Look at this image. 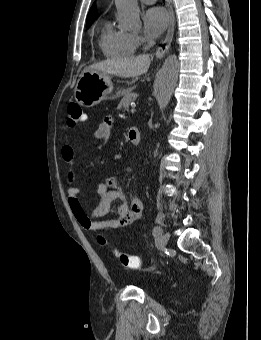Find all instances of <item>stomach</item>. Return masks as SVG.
<instances>
[{
	"label": "stomach",
	"instance_id": "obj_1",
	"mask_svg": "<svg viewBox=\"0 0 261 340\" xmlns=\"http://www.w3.org/2000/svg\"><path fill=\"white\" fill-rule=\"evenodd\" d=\"M113 83L108 74L84 70L76 84L74 97L83 107H93L111 97Z\"/></svg>",
	"mask_w": 261,
	"mask_h": 340
}]
</instances>
